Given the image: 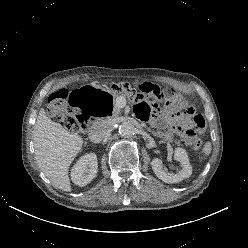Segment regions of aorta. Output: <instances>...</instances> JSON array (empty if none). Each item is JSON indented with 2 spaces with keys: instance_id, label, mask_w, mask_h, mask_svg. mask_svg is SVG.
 <instances>
[{
  "instance_id": "1",
  "label": "aorta",
  "mask_w": 248,
  "mask_h": 248,
  "mask_svg": "<svg viewBox=\"0 0 248 248\" xmlns=\"http://www.w3.org/2000/svg\"><path fill=\"white\" fill-rule=\"evenodd\" d=\"M118 130L119 134L126 138L131 137L135 132L134 125L130 121H124L121 123Z\"/></svg>"
}]
</instances>
